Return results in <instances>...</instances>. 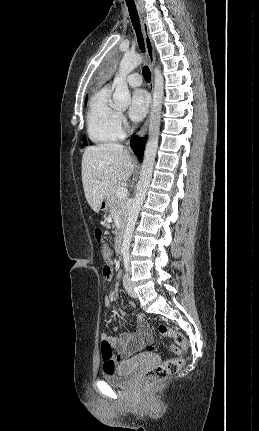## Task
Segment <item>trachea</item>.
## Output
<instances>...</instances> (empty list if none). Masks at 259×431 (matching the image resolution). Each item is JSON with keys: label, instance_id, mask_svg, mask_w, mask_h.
<instances>
[{"label": "trachea", "instance_id": "1", "mask_svg": "<svg viewBox=\"0 0 259 431\" xmlns=\"http://www.w3.org/2000/svg\"><path fill=\"white\" fill-rule=\"evenodd\" d=\"M125 1H126L128 10H129L131 22H132L133 27L136 31L139 47H140L142 52H145L144 40H143V36L141 33V29H140V21H139V16H138V12H137L135 3L133 0H125ZM143 77L147 82H149L151 80V72H150L148 66H145L143 68Z\"/></svg>", "mask_w": 259, "mask_h": 431}]
</instances>
